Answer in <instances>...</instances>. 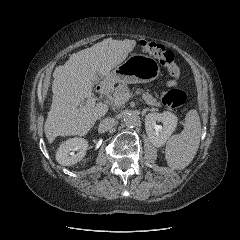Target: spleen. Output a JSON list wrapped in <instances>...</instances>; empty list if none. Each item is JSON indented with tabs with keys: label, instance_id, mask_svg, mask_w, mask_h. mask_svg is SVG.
Instances as JSON below:
<instances>
[{
	"label": "spleen",
	"instance_id": "3e777b00",
	"mask_svg": "<svg viewBox=\"0 0 240 240\" xmlns=\"http://www.w3.org/2000/svg\"><path fill=\"white\" fill-rule=\"evenodd\" d=\"M201 138V122L196 110L186 114L184 129L178 135L169 138L165 158L172 169H184L195 157Z\"/></svg>",
	"mask_w": 240,
	"mask_h": 240
}]
</instances>
